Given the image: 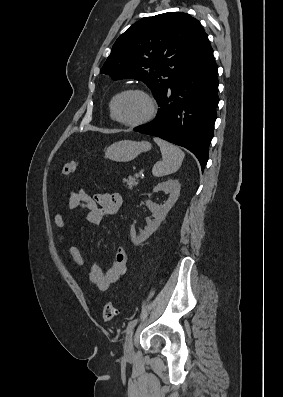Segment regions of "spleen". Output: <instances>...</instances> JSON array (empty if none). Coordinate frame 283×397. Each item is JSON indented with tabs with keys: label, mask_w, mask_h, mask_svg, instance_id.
Here are the masks:
<instances>
[{
	"label": "spleen",
	"mask_w": 283,
	"mask_h": 397,
	"mask_svg": "<svg viewBox=\"0 0 283 397\" xmlns=\"http://www.w3.org/2000/svg\"><path fill=\"white\" fill-rule=\"evenodd\" d=\"M153 140L160 147L162 153V160L153 166V175L162 177L176 172L185 157L184 152L179 147L160 138Z\"/></svg>",
	"instance_id": "spleen-1"
}]
</instances>
